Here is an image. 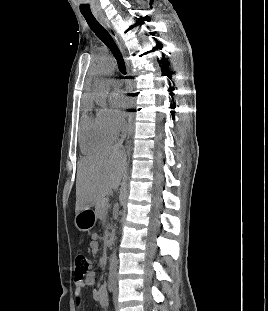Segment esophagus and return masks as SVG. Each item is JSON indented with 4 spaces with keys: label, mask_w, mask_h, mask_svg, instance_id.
Returning <instances> with one entry per match:
<instances>
[{
    "label": "esophagus",
    "mask_w": 268,
    "mask_h": 311,
    "mask_svg": "<svg viewBox=\"0 0 268 311\" xmlns=\"http://www.w3.org/2000/svg\"><path fill=\"white\" fill-rule=\"evenodd\" d=\"M97 18L100 21V23L108 30V32L110 33V35L115 40L118 47L120 48L122 54L124 55V59H125L126 66H127V74L129 75V73H130V62H129L128 57L126 56V48L122 42L121 37L116 32V30L114 29L112 24L104 16H97ZM130 95H131V97H133L134 106H135V102L138 101L137 90H132ZM133 119H134V112H131L129 115V118H128V137L131 135V133L133 131Z\"/></svg>",
    "instance_id": "obj_1"
}]
</instances>
